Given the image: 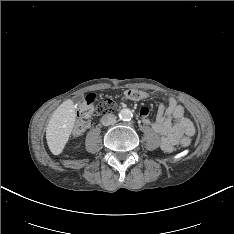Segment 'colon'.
<instances>
[{"label": "colon", "mask_w": 234, "mask_h": 234, "mask_svg": "<svg viewBox=\"0 0 234 234\" xmlns=\"http://www.w3.org/2000/svg\"><path fill=\"white\" fill-rule=\"evenodd\" d=\"M125 96L132 99H143L149 97V94L140 90H128ZM117 108V103L112 99L97 100L95 95H89L78 107L79 120L74 128V135L83 134L90 126L89 119L95 115H103L113 112ZM191 141L185 137L181 141V146L186 148Z\"/></svg>", "instance_id": "1"}]
</instances>
